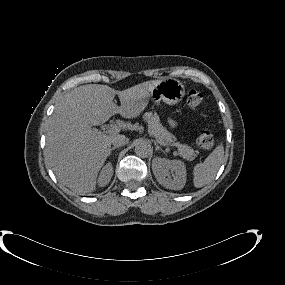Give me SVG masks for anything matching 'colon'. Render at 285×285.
<instances>
[{"mask_svg": "<svg viewBox=\"0 0 285 285\" xmlns=\"http://www.w3.org/2000/svg\"><path fill=\"white\" fill-rule=\"evenodd\" d=\"M204 103V96L198 90H191L187 96V105L192 110L199 109ZM197 142L199 146L205 150H211L214 147L215 139L212 132L208 129L198 134Z\"/></svg>", "mask_w": 285, "mask_h": 285, "instance_id": "5ec220e1", "label": "colon"}]
</instances>
